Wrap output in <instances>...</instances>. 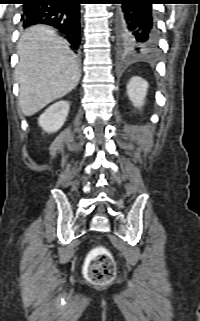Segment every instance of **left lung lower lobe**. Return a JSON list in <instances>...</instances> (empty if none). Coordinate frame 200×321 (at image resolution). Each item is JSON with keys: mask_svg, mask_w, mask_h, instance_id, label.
Segmentation results:
<instances>
[{"mask_svg": "<svg viewBox=\"0 0 200 321\" xmlns=\"http://www.w3.org/2000/svg\"><path fill=\"white\" fill-rule=\"evenodd\" d=\"M159 0H116L115 25L122 53L149 54L156 49L152 4Z\"/></svg>", "mask_w": 200, "mask_h": 321, "instance_id": "0a47b994", "label": "left lung lower lobe"}]
</instances>
